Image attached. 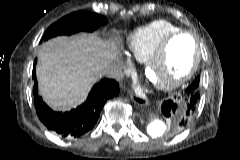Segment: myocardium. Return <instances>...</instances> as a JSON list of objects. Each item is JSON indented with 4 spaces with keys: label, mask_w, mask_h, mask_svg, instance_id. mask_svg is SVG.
Wrapping results in <instances>:
<instances>
[{
    "label": "myocardium",
    "mask_w": 240,
    "mask_h": 160,
    "mask_svg": "<svg viewBox=\"0 0 240 160\" xmlns=\"http://www.w3.org/2000/svg\"><path fill=\"white\" fill-rule=\"evenodd\" d=\"M179 36H188L191 38L194 45V58L190 68L182 75L164 82H153L154 86L159 90H171L179 87L187 82L197 71L201 61V46L198 38L191 32L185 30H179L169 34L158 46L155 52L144 62V74L148 78L149 71L162 60L166 53L168 45L171 41Z\"/></svg>",
    "instance_id": "obj_1"
}]
</instances>
